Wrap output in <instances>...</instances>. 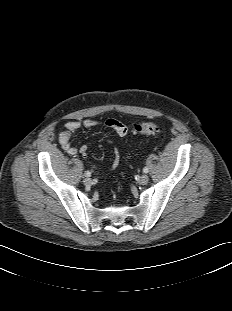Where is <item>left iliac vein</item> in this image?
Listing matches in <instances>:
<instances>
[{"label":"left iliac vein","instance_id":"1","mask_svg":"<svg viewBox=\"0 0 232 311\" xmlns=\"http://www.w3.org/2000/svg\"><path fill=\"white\" fill-rule=\"evenodd\" d=\"M148 181H149V177H148V175H146V174H144V175H142L140 178H139V183L140 184H147L148 183Z\"/></svg>","mask_w":232,"mask_h":311}]
</instances>
